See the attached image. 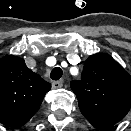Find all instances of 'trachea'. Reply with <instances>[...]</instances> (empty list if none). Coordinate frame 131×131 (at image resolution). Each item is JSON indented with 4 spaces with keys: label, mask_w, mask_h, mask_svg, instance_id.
<instances>
[{
    "label": "trachea",
    "mask_w": 131,
    "mask_h": 131,
    "mask_svg": "<svg viewBox=\"0 0 131 131\" xmlns=\"http://www.w3.org/2000/svg\"><path fill=\"white\" fill-rule=\"evenodd\" d=\"M63 71L60 67H55L50 74L52 80H58L61 78Z\"/></svg>",
    "instance_id": "trachea-1"
}]
</instances>
